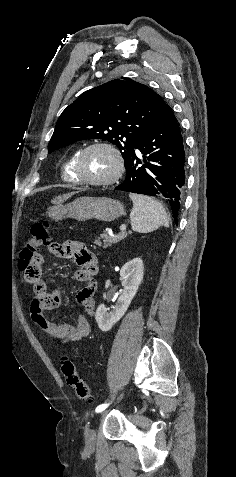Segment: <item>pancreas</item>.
Returning a JSON list of instances; mask_svg holds the SVG:
<instances>
[{"label": "pancreas", "mask_w": 236, "mask_h": 477, "mask_svg": "<svg viewBox=\"0 0 236 477\" xmlns=\"http://www.w3.org/2000/svg\"><path fill=\"white\" fill-rule=\"evenodd\" d=\"M127 236L126 233H121V234H114V235H109V234H103L98 240H95L94 244L101 246L102 243L100 242V239H103V247L107 248L111 246L112 244L118 243L119 241L123 240Z\"/></svg>", "instance_id": "1"}]
</instances>
